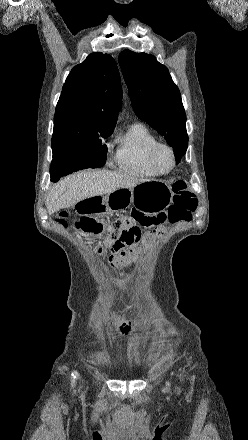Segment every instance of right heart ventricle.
Listing matches in <instances>:
<instances>
[{
    "instance_id": "e07e8e85",
    "label": "right heart ventricle",
    "mask_w": 248,
    "mask_h": 440,
    "mask_svg": "<svg viewBox=\"0 0 248 440\" xmlns=\"http://www.w3.org/2000/svg\"><path fill=\"white\" fill-rule=\"evenodd\" d=\"M158 143L156 136L143 124L134 123L116 139L113 156L118 171L141 178L155 177L158 173L148 161V153Z\"/></svg>"
}]
</instances>
